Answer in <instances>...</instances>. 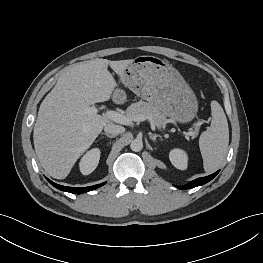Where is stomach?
Wrapping results in <instances>:
<instances>
[{
  "label": "stomach",
  "mask_w": 263,
  "mask_h": 263,
  "mask_svg": "<svg viewBox=\"0 0 263 263\" xmlns=\"http://www.w3.org/2000/svg\"><path fill=\"white\" fill-rule=\"evenodd\" d=\"M122 83L137 96L179 123L190 122L197 114L198 101L182 75L166 60L138 56L125 68ZM124 98L122 90H116Z\"/></svg>",
  "instance_id": "0dacf381"
}]
</instances>
